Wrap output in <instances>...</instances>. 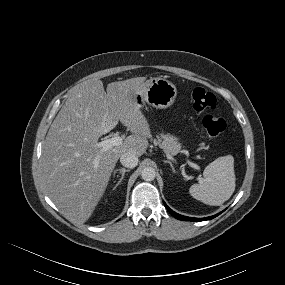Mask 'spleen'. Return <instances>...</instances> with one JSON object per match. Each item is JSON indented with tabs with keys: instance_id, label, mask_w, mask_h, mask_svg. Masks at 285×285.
I'll use <instances>...</instances> for the list:
<instances>
[{
	"instance_id": "3e777b00",
	"label": "spleen",
	"mask_w": 285,
	"mask_h": 285,
	"mask_svg": "<svg viewBox=\"0 0 285 285\" xmlns=\"http://www.w3.org/2000/svg\"><path fill=\"white\" fill-rule=\"evenodd\" d=\"M203 177V182L190 187L191 196L207 205H222L235 190L233 156H222L211 162L204 169Z\"/></svg>"
}]
</instances>
